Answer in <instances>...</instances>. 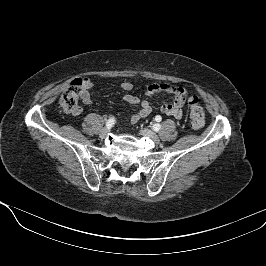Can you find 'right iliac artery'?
Here are the masks:
<instances>
[{"label":"right iliac artery","mask_w":266,"mask_h":266,"mask_svg":"<svg viewBox=\"0 0 266 266\" xmlns=\"http://www.w3.org/2000/svg\"><path fill=\"white\" fill-rule=\"evenodd\" d=\"M115 121V118L108 119V121L106 122L107 128H111L115 124Z\"/></svg>","instance_id":"82829eb1"}]
</instances>
